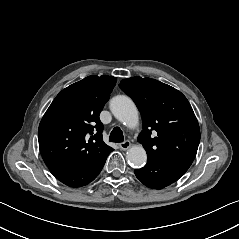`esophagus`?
<instances>
[{
  "label": "esophagus",
  "mask_w": 239,
  "mask_h": 239,
  "mask_svg": "<svg viewBox=\"0 0 239 239\" xmlns=\"http://www.w3.org/2000/svg\"><path fill=\"white\" fill-rule=\"evenodd\" d=\"M131 146L130 141H124L120 143V148L123 150H127Z\"/></svg>",
  "instance_id": "esophagus-1"
}]
</instances>
